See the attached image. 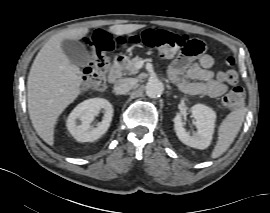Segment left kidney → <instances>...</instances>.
Instances as JSON below:
<instances>
[{"instance_id":"5707ae66","label":"left kidney","mask_w":270,"mask_h":213,"mask_svg":"<svg viewBox=\"0 0 270 213\" xmlns=\"http://www.w3.org/2000/svg\"><path fill=\"white\" fill-rule=\"evenodd\" d=\"M190 111L195 119L197 132L194 135H190L183 127L181 113H177L174 118V130L176 135L185 145L197 149H206L212 141L216 113L212 110V108L203 104H196L192 106Z\"/></svg>"}]
</instances>
